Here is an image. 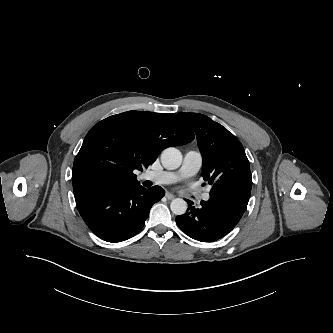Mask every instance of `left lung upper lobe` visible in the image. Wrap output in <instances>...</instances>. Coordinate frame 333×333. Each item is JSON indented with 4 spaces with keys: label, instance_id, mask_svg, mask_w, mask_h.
Segmentation results:
<instances>
[{
    "label": "left lung upper lobe",
    "instance_id": "5c2ea615",
    "mask_svg": "<svg viewBox=\"0 0 333 333\" xmlns=\"http://www.w3.org/2000/svg\"><path fill=\"white\" fill-rule=\"evenodd\" d=\"M194 129L203 157L202 177L213 186L226 176L249 170L240 141L219 123L199 113H179Z\"/></svg>",
    "mask_w": 333,
    "mask_h": 333
}]
</instances>
